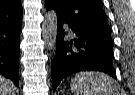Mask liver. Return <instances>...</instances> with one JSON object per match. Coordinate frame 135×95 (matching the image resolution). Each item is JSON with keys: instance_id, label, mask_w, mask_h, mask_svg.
Returning <instances> with one entry per match:
<instances>
[{"instance_id": "liver-1", "label": "liver", "mask_w": 135, "mask_h": 95, "mask_svg": "<svg viewBox=\"0 0 135 95\" xmlns=\"http://www.w3.org/2000/svg\"><path fill=\"white\" fill-rule=\"evenodd\" d=\"M15 91L13 82L0 75V95H15Z\"/></svg>"}]
</instances>
